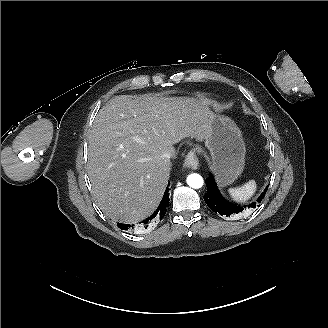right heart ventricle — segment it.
<instances>
[{"instance_id":"right-heart-ventricle-1","label":"right heart ventricle","mask_w":328,"mask_h":328,"mask_svg":"<svg viewBox=\"0 0 328 328\" xmlns=\"http://www.w3.org/2000/svg\"><path fill=\"white\" fill-rule=\"evenodd\" d=\"M202 109H204V106L200 103H197Z\"/></svg>"}]
</instances>
